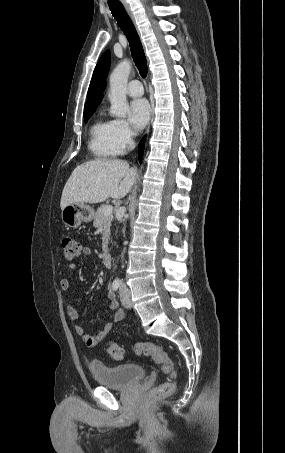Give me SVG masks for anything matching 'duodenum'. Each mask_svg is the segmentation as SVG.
I'll return each mask as SVG.
<instances>
[{"mask_svg": "<svg viewBox=\"0 0 285 453\" xmlns=\"http://www.w3.org/2000/svg\"><path fill=\"white\" fill-rule=\"evenodd\" d=\"M102 259H103V263H104L105 266H107V267L111 266L112 255L109 252H104L103 256H102Z\"/></svg>", "mask_w": 285, "mask_h": 453, "instance_id": "410a0bca", "label": "duodenum"}]
</instances>
